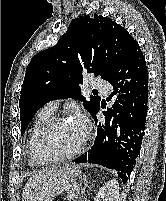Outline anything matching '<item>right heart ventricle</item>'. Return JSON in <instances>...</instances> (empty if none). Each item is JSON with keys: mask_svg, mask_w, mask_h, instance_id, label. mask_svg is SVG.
<instances>
[{"mask_svg": "<svg viewBox=\"0 0 166 201\" xmlns=\"http://www.w3.org/2000/svg\"><path fill=\"white\" fill-rule=\"evenodd\" d=\"M51 116H52V110L44 108L41 111H39L34 117L31 129H30V133H29L28 146H27L28 155H29V163L32 167L40 166L35 162L33 153H32L33 139H34L35 132L37 128L40 126V124L43 123L48 118H50Z\"/></svg>", "mask_w": 166, "mask_h": 201, "instance_id": "right-heart-ventricle-1", "label": "right heart ventricle"}]
</instances>
